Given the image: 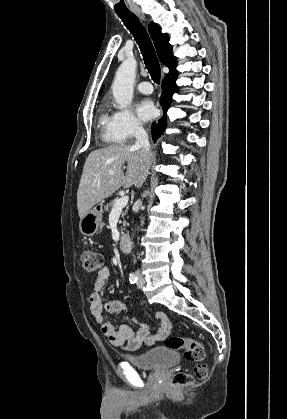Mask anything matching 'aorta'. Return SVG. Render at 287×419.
<instances>
[{
    "instance_id": "762f6f07",
    "label": "aorta",
    "mask_w": 287,
    "mask_h": 419,
    "mask_svg": "<svg viewBox=\"0 0 287 419\" xmlns=\"http://www.w3.org/2000/svg\"><path fill=\"white\" fill-rule=\"evenodd\" d=\"M136 68V59L127 57L116 71L112 92L121 109L126 108L132 101Z\"/></svg>"
}]
</instances>
